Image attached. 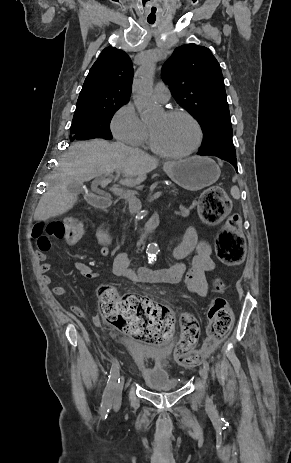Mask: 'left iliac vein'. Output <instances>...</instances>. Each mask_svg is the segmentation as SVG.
Listing matches in <instances>:
<instances>
[{
  "label": "left iliac vein",
  "mask_w": 291,
  "mask_h": 463,
  "mask_svg": "<svg viewBox=\"0 0 291 463\" xmlns=\"http://www.w3.org/2000/svg\"><path fill=\"white\" fill-rule=\"evenodd\" d=\"M199 374L202 380L206 382L208 379V370L204 366L200 368Z\"/></svg>",
  "instance_id": "left-iliac-vein-1"
}]
</instances>
